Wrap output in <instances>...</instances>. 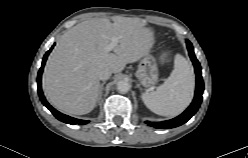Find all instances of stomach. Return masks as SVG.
Returning <instances> with one entry per match:
<instances>
[{
    "instance_id": "stomach-1",
    "label": "stomach",
    "mask_w": 248,
    "mask_h": 158,
    "mask_svg": "<svg viewBox=\"0 0 248 158\" xmlns=\"http://www.w3.org/2000/svg\"><path fill=\"white\" fill-rule=\"evenodd\" d=\"M158 62L156 58L148 54L140 61L136 71V77L145 88H152L158 82Z\"/></svg>"
}]
</instances>
